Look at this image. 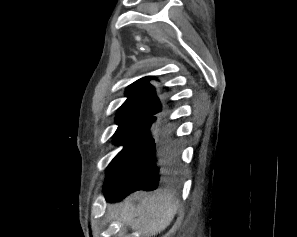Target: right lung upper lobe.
<instances>
[{"mask_svg":"<svg viewBox=\"0 0 297 237\" xmlns=\"http://www.w3.org/2000/svg\"><path fill=\"white\" fill-rule=\"evenodd\" d=\"M150 78H141L127 87V100L117 110V124L140 119L154 121L156 115L163 112L155 88L149 83Z\"/></svg>","mask_w":297,"mask_h":237,"instance_id":"right-lung-upper-lobe-1","label":"right lung upper lobe"}]
</instances>
